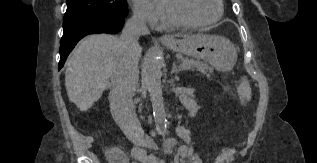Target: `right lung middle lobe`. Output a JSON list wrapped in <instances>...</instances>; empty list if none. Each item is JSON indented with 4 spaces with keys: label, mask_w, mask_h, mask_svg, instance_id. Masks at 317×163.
I'll return each mask as SVG.
<instances>
[{
    "label": "right lung middle lobe",
    "mask_w": 317,
    "mask_h": 163,
    "mask_svg": "<svg viewBox=\"0 0 317 163\" xmlns=\"http://www.w3.org/2000/svg\"><path fill=\"white\" fill-rule=\"evenodd\" d=\"M127 14L126 0H67L63 30L97 17H126Z\"/></svg>",
    "instance_id": "1"
}]
</instances>
